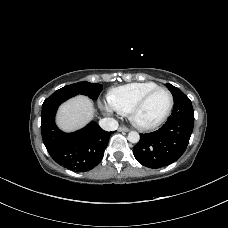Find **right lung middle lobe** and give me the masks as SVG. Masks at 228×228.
I'll return each mask as SVG.
<instances>
[{"mask_svg":"<svg viewBox=\"0 0 228 228\" xmlns=\"http://www.w3.org/2000/svg\"><path fill=\"white\" fill-rule=\"evenodd\" d=\"M101 91H102L101 84L82 81V82L65 86L55 91L53 94H55L56 96H65V95L75 96L78 94H83V95H87L89 98L93 100H96Z\"/></svg>","mask_w":228,"mask_h":228,"instance_id":"dd1d6c3e","label":"right lung middle lobe"}]
</instances>
